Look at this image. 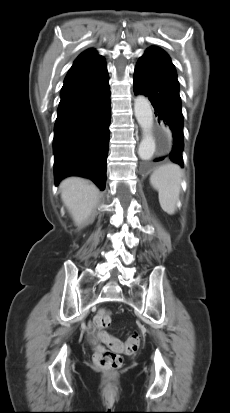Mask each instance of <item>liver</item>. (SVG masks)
I'll list each match as a JSON object with an SVG mask.
<instances>
[{
	"label": "liver",
	"mask_w": 230,
	"mask_h": 413,
	"mask_svg": "<svg viewBox=\"0 0 230 413\" xmlns=\"http://www.w3.org/2000/svg\"><path fill=\"white\" fill-rule=\"evenodd\" d=\"M60 189L61 199L76 224L84 222L98 204V188L83 178H67Z\"/></svg>",
	"instance_id": "liver-1"
}]
</instances>
